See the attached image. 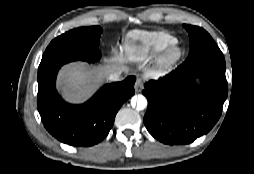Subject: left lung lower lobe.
<instances>
[{
    "label": "left lung lower lobe",
    "instance_id": "1",
    "mask_svg": "<svg viewBox=\"0 0 254 174\" xmlns=\"http://www.w3.org/2000/svg\"><path fill=\"white\" fill-rule=\"evenodd\" d=\"M195 78L203 91L191 88ZM142 93L148 99L144 124L149 133L164 144H189L220 118L228 93L225 66L181 64L165 78L147 82Z\"/></svg>",
    "mask_w": 254,
    "mask_h": 174
}]
</instances>
